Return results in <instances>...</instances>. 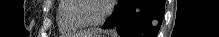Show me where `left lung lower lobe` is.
I'll list each match as a JSON object with an SVG mask.
<instances>
[{
    "label": "left lung lower lobe",
    "mask_w": 219,
    "mask_h": 37,
    "mask_svg": "<svg viewBox=\"0 0 219 37\" xmlns=\"http://www.w3.org/2000/svg\"><path fill=\"white\" fill-rule=\"evenodd\" d=\"M165 0H118L103 29L115 27L121 37H156Z\"/></svg>",
    "instance_id": "left-lung-lower-lobe-1"
}]
</instances>
